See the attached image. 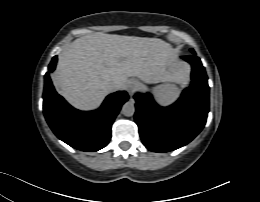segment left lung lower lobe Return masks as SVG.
<instances>
[{"instance_id": "left-lung-lower-lobe-1", "label": "left lung lower lobe", "mask_w": 260, "mask_h": 202, "mask_svg": "<svg viewBox=\"0 0 260 202\" xmlns=\"http://www.w3.org/2000/svg\"><path fill=\"white\" fill-rule=\"evenodd\" d=\"M191 52H195L191 49ZM192 65V83L168 107L157 105L150 93H137L135 122L143 144L153 152H168L189 143L202 130L209 112V86L197 56L182 57Z\"/></svg>"}]
</instances>
